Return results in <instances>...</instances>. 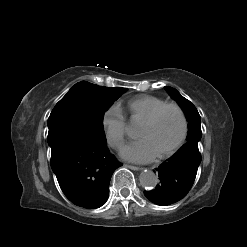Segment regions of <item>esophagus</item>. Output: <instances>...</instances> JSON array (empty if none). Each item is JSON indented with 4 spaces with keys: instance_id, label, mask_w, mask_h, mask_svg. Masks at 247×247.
<instances>
[{
    "instance_id": "1",
    "label": "esophagus",
    "mask_w": 247,
    "mask_h": 247,
    "mask_svg": "<svg viewBox=\"0 0 247 247\" xmlns=\"http://www.w3.org/2000/svg\"><path fill=\"white\" fill-rule=\"evenodd\" d=\"M125 166L128 167L131 170H135V171L141 170V168L140 167H137V166L128 165V164H126Z\"/></svg>"
}]
</instances>
